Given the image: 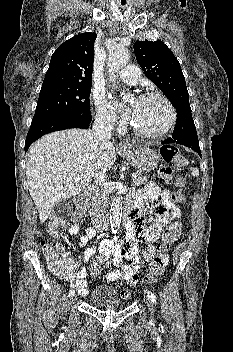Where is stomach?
<instances>
[{"label":"stomach","mask_w":233,"mask_h":352,"mask_svg":"<svg viewBox=\"0 0 233 352\" xmlns=\"http://www.w3.org/2000/svg\"><path fill=\"white\" fill-rule=\"evenodd\" d=\"M123 155L138 171L146 173L154 170L160 161V156L147 147H131L123 150Z\"/></svg>","instance_id":"stomach-1"}]
</instances>
